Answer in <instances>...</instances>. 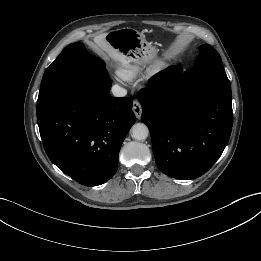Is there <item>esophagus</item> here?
Instances as JSON below:
<instances>
[{"instance_id": "1", "label": "esophagus", "mask_w": 261, "mask_h": 261, "mask_svg": "<svg viewBox=\"0 0 261 261\" xmlns=\"http://www.w3.org/2000/svg\"><path fill=\"white\" fill-rule=\"evenodd\" d=\"M132 110L136 116L137 119H140L141 118V114H142V107L139 103L138 100H134L133 101V107H132Z\"/></svg>"}]
</instances>
